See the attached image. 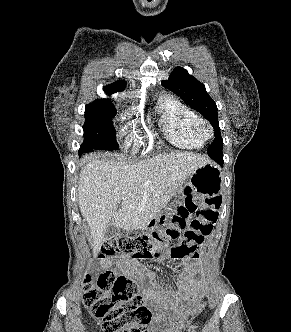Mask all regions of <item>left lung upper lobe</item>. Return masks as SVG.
I'll list each match as a JSON object with an SVG mask.
<instances>
[{
    "instance_id": "obj_1",
    "label": "left lung upper lobe",
    "mask_w": 291,
    "mask_h": 332,
    "mask_svg": "<svg viewBox=\"0 0 291 332\" xmlns=\"http://www.w3.org/2000/svg\"><path fill=\"white\" fill-rule=\"evenodd\" d=\"M162 85L175 92L187 105L209 120L215 129V139L207 153L210 157L222 154L223 140L218 123L217 106L206 92L205 85L181 67H176L169 79L162 81Z\"/></svg>"
}]
</instances>
